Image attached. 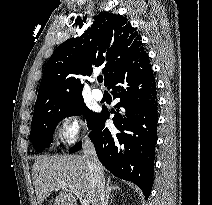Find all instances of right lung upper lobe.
<instances>
[{"label":"right lung upper lobe","mask_w":212,"mask_h":205,"mask_svg":"<svg viewBox=\"0 0 212 205\" xmlns=\"http://www.w3.org/2000/svg\"><path fill=\"white\" fill-rule=\"evenodd\" d=\"M145 53L140 34L120 14L100 13L81 37L59 45L45 65L34 110L46 105H68L82 100L79 75L90 76L104 66L107 86L123 66Z\"/></svg>","instance_id":"right-lung-upper-lobe-1"}]
</instances>
